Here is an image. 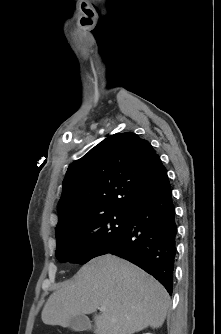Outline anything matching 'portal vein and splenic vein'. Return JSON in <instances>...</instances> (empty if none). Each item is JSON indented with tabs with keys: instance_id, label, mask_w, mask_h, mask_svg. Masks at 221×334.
I'll use <instances>...</instances> for the list:
<instances>
[{
	"instance_id": "18ae733b",
	"label": "portal vein and splenic vein",
	"mask_w": 221,
	"mask_h": 334,
	"mask_svg": "<svg viewBox=\"0 0 221 334\" xmlns=\"http://www.w3.org/2000/svg\"><path fill=\"white\" fill-rule=\"evenodd\" d=\"M99 310H100L101 312H103V311H105V308H104V307H101V308H99Z\"/></svg>"
}]
</instances>
